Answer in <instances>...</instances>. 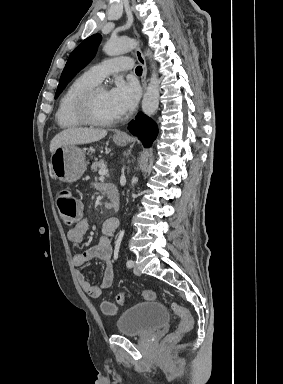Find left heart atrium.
<instances>
[{
  "label": "left heart atrium",
  "mask_w": 283,
  "mask_h": 384,
  "mask_svg": "<svg viewBox=\"0 0 283 384\" xmlns=\"http://www.w3.org/2000/svg\"><path fill=\"white\" fill-rule=\"evenodd\" d=\"M108 96L114 111L120 116L130 113L138 99V88L134 84L117 81L108 90Z\"/></svg>",
  "instance_id": "left-heart-atrium-1"
}]
</instances>
